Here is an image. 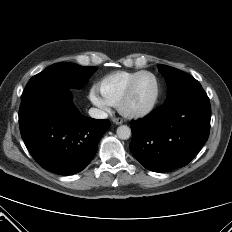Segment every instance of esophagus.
I'll use <instances>...</instances> for the list:
<instances>
[{
	"label": "esophagus",
	"instance_id": "1",
	"mask_svg": "<svg viewBox=\"0 0 232 232\" xmlns=\"http://www.w3.org/2000/svg\"><path fill=\"white\" fill-rule=\"evenodd\" d=\"M112 121L116 124V125H120L123 123V120L121 118L115 117L112 119Z\"/></svg>",
	"mask_w": 232,
	"mask_h": 232
}]
</instances>
